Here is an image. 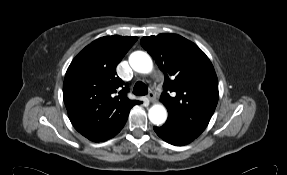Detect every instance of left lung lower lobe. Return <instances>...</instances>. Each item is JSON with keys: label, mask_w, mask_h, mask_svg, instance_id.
Wrapping results in <instances>:
<instances>
[{"label": "left lung lower lobe", "mask_w": 287, "mask_h": 175, "mask_svg": "<svg viewBox=\"0 0 287 175\" xmlns=\"http://www.w3.org/2000/svg\"><path fill=\"white\" fill-rule=\"evenodd\" d=\"M154 130L159 137L172 145L182 146L194 140V138L168 124H164L161 127H154Z\"/></svg>", "instance_id": "1"}]
</instances>
